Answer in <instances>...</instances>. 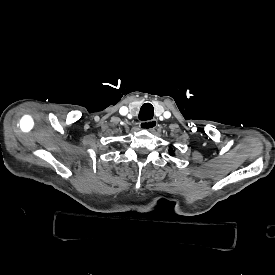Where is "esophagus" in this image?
Instances as JSON below:
<instances>
[{
    "label": "esophagus",
    "mask_w": 275,
    "mask_h": 275,
    "mask_svg": "<svg viewBox=\"0 0 275 275\" xmlns=\"http://www.w3.org/2000/svg\"><path fill=\"white\" fill-rule=\"evenodd\" d=\"M157 124H158V121L156 119H152V120H147V121L141 122L140 127L142 129L152 130V129L156 128Z\"/></svg>",
    "instance_id": "obj_1"
}]
</instances>
